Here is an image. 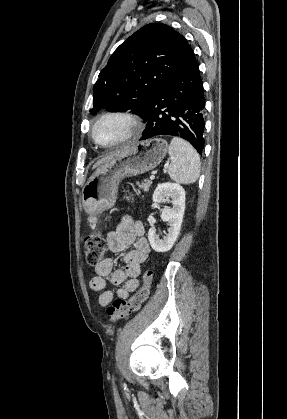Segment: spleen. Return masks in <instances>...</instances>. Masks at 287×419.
Listing matches in <instances>:
<instances>
[{
    "mask_svg": "<svg viewBox=\"0 0 287 419\" xmlns=\"http://www.w3.org/2000/svg\"><path fill=\"white\" fill-rule=\"evenodd\" d=\"M171 162L168 165L170 178L181 184H192L200 175V157L193 146L178 137H174L168 148Z\"/></svg>",
    "mask_w": 287,
    "mask_h": 419,
    "instance_id": "obj_1",
    "label": "spleen"
}]
</instances>
